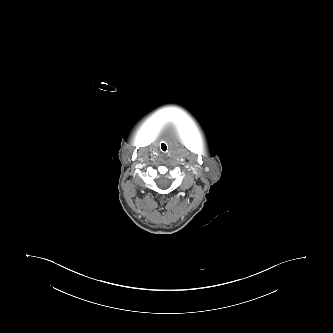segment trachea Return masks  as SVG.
<instances>
[{
	"label": "trachea",
	"instance_id": "1",
	"mask_svg": "<svg viewBox=\"0 0 333 333\" xmlns=\"http://www.w3.org/2000/svg\"><path fill=\"white\" fill-rule=\"evenodd\" d=\"M163 147H164V148H163ZM161 148H162L163 151H165V150L167 149V147H166L165 144H162V145H161Z\"/></svg>",
	"mask_w": 333,
	"mask_h": 333
}]
</instances>
